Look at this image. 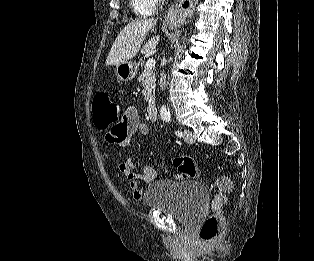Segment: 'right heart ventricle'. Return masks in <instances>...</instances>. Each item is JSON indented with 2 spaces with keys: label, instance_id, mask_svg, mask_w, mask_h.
Returning a JSON list of instances; mask_svg holds the SVG:
<instances>
[{
  "label": "right heart ventricle",
  "instance_id": "obj_1",
  "mask_svg": "<svg viewBox=\"0 0 314 261\" xmlns=\"http://www.w3.org/2000/svg\"><path fill=\"white\" fill-rule=\"evenodd\" d=\"M133 12L139 17H147L154 13L156 7L151 0H130Z\"/></svg>",
  "mask_w": 314,
  "mask_h": 261
}]
</instances>
